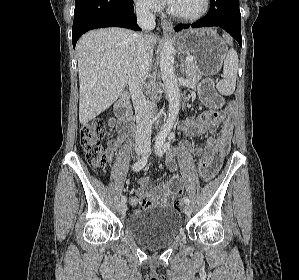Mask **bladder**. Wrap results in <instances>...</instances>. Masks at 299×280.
I'll return each instance as SVG.
<instances>
[{"instance_id":"obj_1","label":"bladder","mask_w":299,"mask_h":280,"mask_svg":"<svg viewBox=\"0 0 299 280\" xmlns=\"http://www.w3.org/2000/svg\"><path fill=\"white\" fill-rule=\"evenodd\" d=\"M126 230L141 245L159 249L171 244L181 233V213L169 206L146 208L127 220Z\"/></svg>"}]
</instances>
